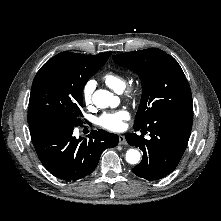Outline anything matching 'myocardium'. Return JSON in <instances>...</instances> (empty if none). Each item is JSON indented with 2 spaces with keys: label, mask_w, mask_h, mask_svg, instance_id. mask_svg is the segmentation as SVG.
Wrapping results in <instances>:
<instances>
[{
  "label": "myocardium",
  "mask_w": 221,
  "mask_h": 221,
  "mask_svg": "<svg viewBox=\"0 0 221 221\" xmlns=\"http://www.w3.org/2000/svg\"><path fill=\"white\" fill-rule=\"evenodd\" d=\"M136 93H137V90H136V88L135 87H128L127 88V90H126V95L128 96V97H134L135 95H136Z\"/></svg>",
  "instance_id": "1"
}]
</instances>
